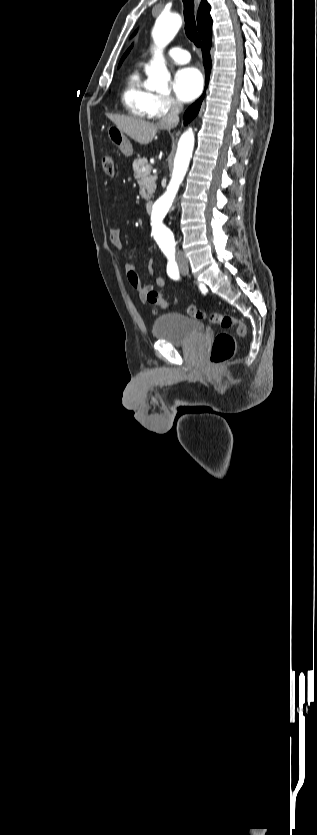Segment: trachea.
<instances>
[{
    "mask_svg": "<svg viewBox=\"0 0 317 835\" xmlns=\"http://www.w3.org/2000/svg\"><path fill=\"white\" fill-rule=\"evenodd\" d=\"M184 4V20L185 32L187 37L197 47L201 45V39L196 30V21L194 17V0H182Z\"/></svg>",
    "mask_w": 317,
    "mask_h": 835,
    "instance_id": "3493384b",
    "label": "trachea"
}]
</instances>
